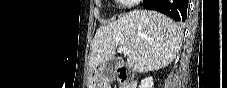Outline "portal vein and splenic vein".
Instances as JSON below:
<instances>
[{"label": "portal vein and splenic vein", "mask_w": 227, "mask_h": 88, "mask_svg": "<svg viewBox=\"0 0 227 88\" xmlns=\"http://www.w3.org/2000/svg\"><path fill=\"white\" fill-rule=\"evenodd\" d=\"M119 51L123 53L124 55H129L130 50H128L126 47H120Z\"/></svg>", "instance_id": "1"}]
</instances>
